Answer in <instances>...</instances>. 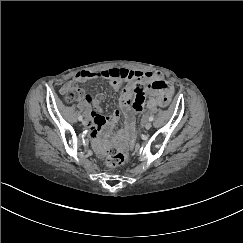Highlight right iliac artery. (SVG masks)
Here are the masks:
<instances>
[{
    "instance_id": "82829eb1",
    "label": "right iliac artery",
    "mask_w": 243,
    "mask_h": 243,
    "mask_svg": "<svg viewBox=\"0 0 243 243\" xmlns=\"http://www.w3.org/2000/svg\"><path fill=\"white\" fill-rule=\"evenodd\" d=\"M78 119H79V121H82L83 117L80 115V116L78 117Z\"/></svg>"
}]
</instances>
